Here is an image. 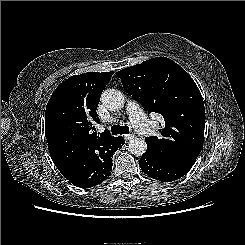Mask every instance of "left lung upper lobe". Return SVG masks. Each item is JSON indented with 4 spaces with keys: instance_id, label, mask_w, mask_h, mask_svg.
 <instances>
[{
    "instance_id": "5c2ea615",
    "label": "left lung upper lobe",
    "mask_w": 245,
    "mask_h": 245,
    "mask_svg": "<svg viewBox=\"0 0 245 245\" xmlns=\"http://www.w3.org/2000/svg\"><path fill=\"white\" fill-rule=\"evenodd\" d=\"M116 75L125 91L148 113L164 118L161 136L145 138L146 153L166 161L194 164L203 147L205 108L189 74L171 59L158 57Z\"/></svg>"
}]
</instances>
